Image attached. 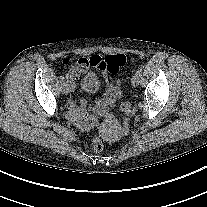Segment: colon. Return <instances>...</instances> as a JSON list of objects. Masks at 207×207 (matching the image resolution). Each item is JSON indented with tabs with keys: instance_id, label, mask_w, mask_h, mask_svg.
<instances>
[{
	"instance_id": "5ec220e1",
	"label": "colon",
	"mask_w": 207,
	"mask_h": 207,
	"mask_svg": "<svg viewBox=\"0 0 207 207\" xmlns=\"http://www.w3.org/2000/svg\"><path fill=\"white\" fill-rule=\"evenodd\" d=\"M126 64V57L124 55H113L106 58H94L90 61L83 62L85 67L93 65L102 71L103 76H111L118 73ZM82 70L81 62L78 63L77 69L72 73L73 77L78 75V72ZM121 111L123 113V125L120 129V134L125 135L129 129L130 118L132 115V106L128 101L121 103ZM91 147L94 151L100 152L103 150V142L99 138L91 139Z\"/></svg>"
}]
</instances>
